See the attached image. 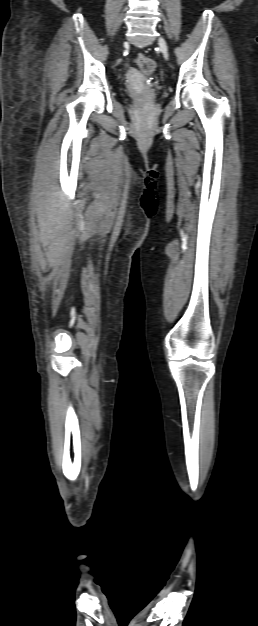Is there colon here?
<instances>
[{
	"label": "colon",
	"instance_id": "colon-1",
	"mask_svg": "<svg viewBox=\"0 0 258 626\" xmlns=\"http://www.w3.org/2000/svg\"><path fill=\"white\" fill-rule=\"evenodd\" d=\"M137 64L139 66V68L145 73V74H151L153 73V71L155 70L156 64L154 62L153 59H151L150 57L144 55V54H139L137 56Z\"/></svg>",
	"mask_w": 258,
	"mask_h": 626
}]
</instances>
